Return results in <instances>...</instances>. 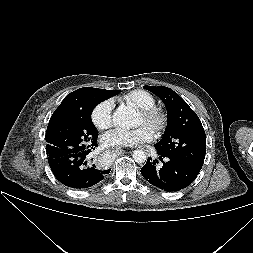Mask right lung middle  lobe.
<instances>
[{
	"instance_id": "obj_1",
	"label": "right lung middle lobe",
	"mask_w": 253,
	"mask_h": 253,
	"mask_svg": "<svg viewBox=\"0 0 253 253\" xmlns=\"http://www.w3.org/2000/svg\"><path fill=\"white\" fill-rule=\"evenodd\" d=\"M118 93L119 90L115 95ZM109 97L111 95L102 89L85 87L66 111L52 115L45 136L48 157L57 158L87 150L98 137L91 121L92 111Z\"/></svg>"
}]
</instances>
